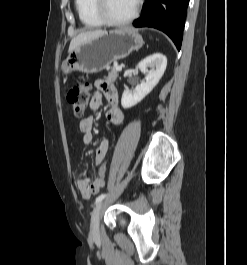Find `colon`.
Masks as SVG:
<instances>
[{"label": "colon", "instance_id": "1", "mask_svg": "<svg viewBox=\"0 0 247 265\" xmlns=\"http://www.w3.org/2000/svg\"><path fill=\"white\" fill-rule=\"evenodd\" d=\"M90 99V85L88 83L78 82L74 84L67 93V102L72 107L76 116H82L88 107ZM107 174V163L103 160L100 163L98 179L105 182Z\"/></svg>", "mask_w": 247, "mask_h": 265}]
</instances>
